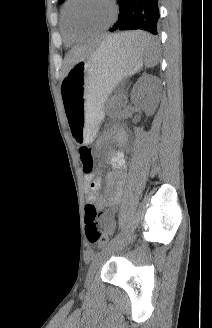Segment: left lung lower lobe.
Masks as SVG:
<instances>
[{
	"mask_svg": "<svg viewBox=\"0 0 212 328\" xmlns=\"http://www.w3.org/2000/svg\"><path fill=\"white\" fill-rule=\"evenodd\" d=\"M120 5L118 21L109 30L141 29L157 35L156 24L158 21V0H117ZM156 39L150 37L146 45L156 44ZM132 45V44H131Z\"/></svg>",
	"mask_w": 212,
	"mask_h": 328,
	"instance_id": "1",
	"label": "left lung lower lobe"
}]
</instances>
